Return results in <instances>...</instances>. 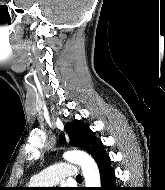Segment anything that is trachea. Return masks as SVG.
<instances>
[{
    "label": "trachea",
    "mask_w": 165,
    "mask_h": 190,
    "mask_svg": "<svg viewBox=\"0 0 165 190\" xmlns=\"http://www.w3.org/2000/svg\"><path fill=\"white\" fill-rule=\"evenodd\" d=\"M76 178H77V179H82L81 175H78Z\"/></svg>",
    "instance_id": "1"
}]
</instances>
